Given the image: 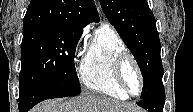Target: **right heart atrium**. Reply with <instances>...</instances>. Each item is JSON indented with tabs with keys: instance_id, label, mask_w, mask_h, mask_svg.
Returning <instances> with one entry per match:
<instances>
[{
	"instance_id": "obj_1",
	"label": "right heart atrium",
	"mask_w": 193,
	"mask_h": 112,
	"mask_svg": "<svg viewBox=\"0 0 193 112\" xmlns=\"http://www.w3.org/2000/svg\"><path fill=\"white\" fill-rule=\"evenodd\" d=\"M86 34H87V30H83L82 33L79 35L78 39L76 40V43L74 45V50H73L75 60L80 55L83 49Z\"/></svg>"
}]
</instances>
